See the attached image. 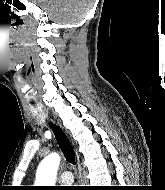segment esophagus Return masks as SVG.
Segmentation results:
<instances>
[{
	"label": "esophagus",
	"mask_w": 165,
	"mask_h": 190,
	"mask_svg": "<svg viewBox=\"0 0 165 190\" xmlns=\"http://www.w3.org/2000/svg\"><path fill=\"white\" fill-rule=\"evenodd\" d=\"M76 161H77L78 169H79V178H81V165H80V158L78 155L76 156Z\"/></svg>",
	"instance_id": "obj_1"
}]
</instances>
